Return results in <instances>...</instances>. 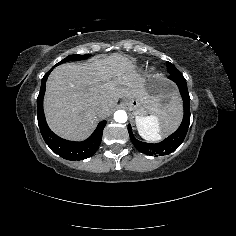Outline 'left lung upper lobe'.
<instances>
[{
    "instance_id": "1",
    "label": "left lung upper lobe",
    "mask_w": 236,
    "mask_h": 236,
    "mask_svg": "<svg viewBox=\"0 0 236 236\" xmlns=\"http://www.w3.org/2000/svg\"><path fill=\"white\" fill-rule=\"evenodd\" d=\"M175 68H176V67H175ZM176 69H177V68H176ZM167 71H168L169 74L174 73L173 71H170V70H168V69H167Z\"/></svg>"
}]
</instances>
